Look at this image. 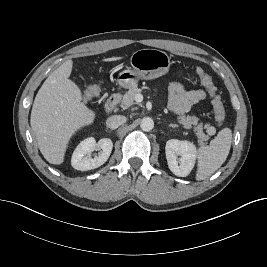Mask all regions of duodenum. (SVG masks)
I'll return each mask as SVG.
<instances>
[{
  "instance_id": "1",
  "label": "duodenum",
  "mask_w": 267,
  "mask_h": 267,
  "mask_svg": "<svg viewBox=\"0 0 267 267\" xmlns=\"http://www.w3.org/2000/svg\"><path fill=\"white\" fill-rule=\"evenodd\" d=\"M120 101V93L116 92L109 96L105 102V111L110 113L118 105Z\"/></svg>"
}]
</instances>
